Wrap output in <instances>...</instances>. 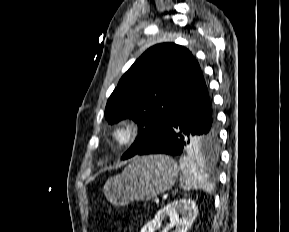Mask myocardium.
Segmentation results:
<instances>
[{
  "label": "myocardium",
  "instance_id": "1",
  "mask_svg": "<svg viewBox=\"0 0 289 232\" xmlns=\"http://www.w3.org/2000/svg\"><path fill=\"white\" fill-rule=\"evenodd\" d=\"M111 135L119 145L128 146L138 139L140 127L131 119H122L114 124Z\"/></svg>",
  "mask_w": 289,
  "mask_h": 232
}]
</instances>
